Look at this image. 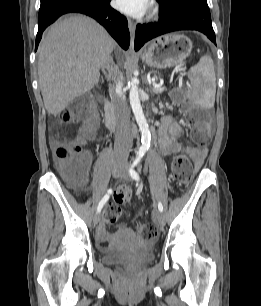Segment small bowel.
Instances as JSON below:
<instances>
[{
  "instance_id": "small-bowel-1",
  "label": "small bowel",
  "mask_w": 261,
  "mask_h": 306,
  "mask_svg": "<svg viewBox=\"0 0 261 306\" xmlns=\"http://www.w3.org/2000/svg\"><path fill=\"white\" fill-rule=\"evenodd\" d=\"M183 127L172 119L170 116H164L161 119L159 127V145L165 154H173L178 152L187 153L193 160L197 169L201 168L207 155V148L197 147L195 145H183L179 142V137L183 134ZM86 159L87 170L92 161L90 153L84 154Z\"/></svg>"
}]
</instances>
